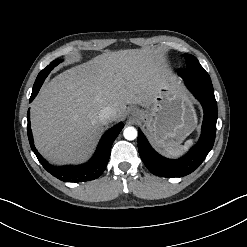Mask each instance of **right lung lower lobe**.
<instances>
[{
	"label": "right lung lower lobe",
	"mask_w": 247,
	"mask_h": 247,
	"mask_svg": "<svg viewBox=\"0 0 247 247\" xmlns=\"http://www.w3.org/2000/svg\"><path fill=\"white\" fill-rule=\"evenodd\" d=\"M46 77H47L46 75L42 76L41 78L39 76L37 77L33 86L30 102L36 97ZM27 120H28L27 133L32 151L35 153L39 162L42 164V166L46 171H48L56 178L65 182H84L98 178L104 172L107 166L110 157L112 143L114 142L115 138L118 136V134L120 133V131L124 126L123 123H119L118 125L114 126L112 129H110L104 134L98 146L95 156L87 164L79 167H71V166L55 167L49 164L45 159H43L42 156L37 152L36 148L34 147L33 137L30 128L29 110L27 113Z\"/></svg>",
	"instance_id": "obj_1"
}]
</instances>
